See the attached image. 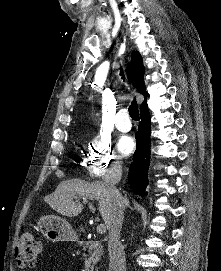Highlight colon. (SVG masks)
<instances>
[{
    "label": "colon",
    "instance_id": "5ec220e1",
    "mask_svg": "<svg viewBox=\"0 0 221 271\" xmlns=\"http://www.w3.org/2000/svg\"><path fill=\"white\" fill-rule=\"evenodd\" d=\"M42 252V243L32 234L24 233L16 242L15 261L23 268L36 267Z\"/></svg>",
    "mask_w": 221,
    "mask_h": 271
}]
</instances>
